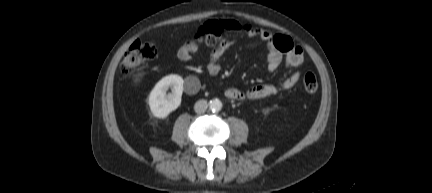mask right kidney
Returning <instances> with one entry per match:
<instances>
[{"instance_id":"1","label":"right kidney","mask_w":432,"mask_h":193,"mask_svg":"<svg viewBox=\"0 0 432 193\" xmlns=\"http://www.w3.org/2000/svg\"><path fill=\"white\" fill-rule=\"evenodd\" d=\"M184 80L177 74L163 77L153 88L149 95L148 104L153 116L166 118L181 104ZM171 88L172 93L166 94Z\"/></svg>"}]
</instances>
